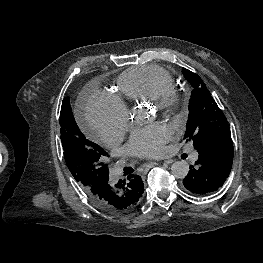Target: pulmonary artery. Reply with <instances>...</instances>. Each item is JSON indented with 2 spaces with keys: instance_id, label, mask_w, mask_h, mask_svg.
Wrapping results in <instances>:
<instances>
[{
  "instance_id": "e3ab8cb5",
  "label": "pulmonary artery",
  "mask_w": 263,
  "mask_h": 263,
  "mask_svg": "<svg viewBox=\"0 0 263 263\" xmlns=\"http://www.w3.org/2000/svg\"><path fill=\"white\" fill-rule=\"evenodd\" d=\"M197 158H198V153L196 151H193L190 156L191 161H196ZM118 172H119V169H117L116 174H118Z\"/></svg>"
}]
</instances>
